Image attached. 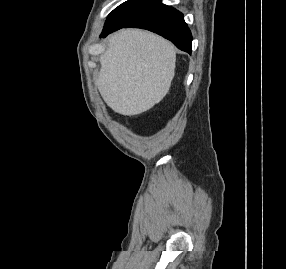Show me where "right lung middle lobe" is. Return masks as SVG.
<instances>
[{"label": "right lung middle lobe", "mask_w": 286, "mask_h": 269, "mask_svg": "<svg viewBox=\"0 0 286 269\" xmlns=\"http://www.w3.org/2000/svg\"><path fill=\"white\" fill-rule=\"evenodd\" d=\"M159 3L161 0H128L109 14L103 30L121 28Z\"/></svg>", "instance_id": "obj_1"}]
</instances>
